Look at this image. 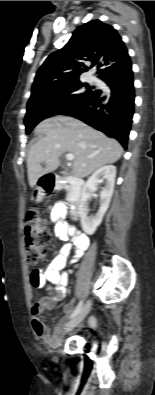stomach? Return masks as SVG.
<instances>
[{
    "mask_svg": "<svg viewBox=\"0 0 155 395\" xmlns=\"http://www.w3.org/2000/svg\"><path fill=\"white\" fill-rule=\"evenodd\" d=\"M42 195H43L42 190H41V189H37V190L33 193L32 199H33V200L41 199V198H42Z\"/></svg>",
    "mask_w": 155,
    "mask_h": 395,
    "instance_id": "1",
    "label": "stomach"
}]
</instances>
